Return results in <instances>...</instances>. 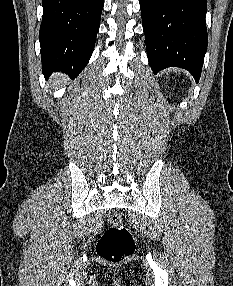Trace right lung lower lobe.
I'll return each instance as SVG.
<instances>
[{
	"label": "right lung lower lobe",
	"mask_w": 233,
	"mask_h": 286,
	"mask_svg": "<svg viewBox=\"0 0 233 286\" xmlns=\"http://www.w3.org/2000/svg\"><path fill=\"white\" fill-rule=\"evenodd\" d=\"M104 0H42L40 26L45 77L62 71L74 78L88 63L95 45Z\"/></svg>",
	"instance_id": "obj_1"
}]
</instances>
